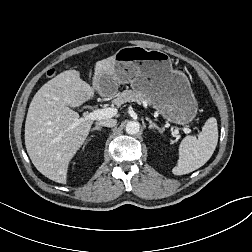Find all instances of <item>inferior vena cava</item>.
Returning a JSON list of instances; mask_svg holds the SVG:
<instances>
[{"label":"inferior vena cava","instance_id":"obj_1","mask_svg":"<svg viewBox=\"0 0 252 252\" xmlns=\"http://www.w3.org/2000/svg\"><path fill=\"white\" fill-rule=\"evenodd\" d=\"M117 123L116 119H106L97 122L98 126L114 127Z\"/></svg>","mask_w":252,"mask_h":252}]
</instances>
